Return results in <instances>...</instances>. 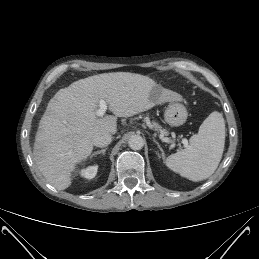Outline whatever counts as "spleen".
<instances>
[{
    "mask_svg": "<svg viewBox=\"0 0 259 259\" xmlns=\"http://www.w3.org/2000/svg\"><path fill=\"white\" fill-rule=\"evenodd\" d=\"M225 145V122L221 113L212 112L190 138V146L165 160L166 166L191 181L210 177L217 169Z\"/></svg>",
    "mask_w": 259,
    "mask_h": 259,
    "instance_id": "spleen-1",
    "label": "spleen"
}]
</instances>
